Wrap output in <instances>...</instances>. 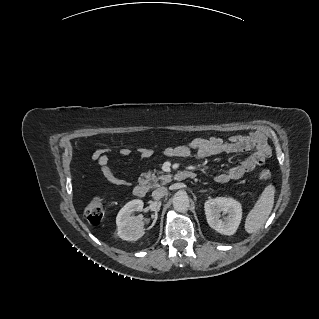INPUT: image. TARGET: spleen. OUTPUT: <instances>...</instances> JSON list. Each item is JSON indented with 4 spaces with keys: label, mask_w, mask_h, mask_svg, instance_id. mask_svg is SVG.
I'll list each match as a JSON object with an SVG mask.
<instances>
[{
    "label": "spleen",
    "mask_w": 319,
    "mask_h": 319,
    "mask_svg": "<svg viewBox=\"0 0 319 319\" xmlns=\"http://www.w3.org/2000/svg\"><path fill=\"white\" fill-rule=\"evenodd\" d=\"M275 188L268 185L261 193L253 209L248 213L245 220V231L254 233L268 219L274 205Z\"/></svg>",
    "instance_id": "1"
}]
</instances>
